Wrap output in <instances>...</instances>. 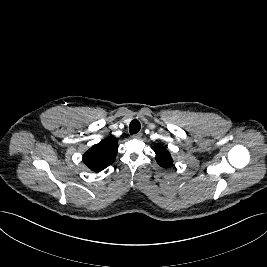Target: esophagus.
Here are the masks:
<instances>
[{"label": "esophagus", "mask_w": 267, "mask_h": 267, "mask_svg": "<svg viewBox=\"0 0 267 267\" xmlns=\"http://www.w3.org/2000/svg\"><path fill=\"white\" fill-rule=\"evenodd\" d=\"M135 139H140L142 137V133H137L132 136Z\"/></svg>", "instance_id": "esophagus-1"}]
</instances>
